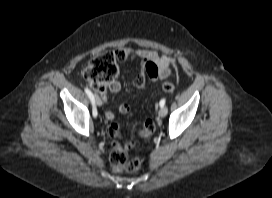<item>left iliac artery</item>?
<instances>
[{
  "mask_svg": "<svg viewBox=\"0 0 272 198\" xmlns=\"http://www.w3.org/2000/svg\"><path fill=\"white\" fill-rule=\"evenodd\" d=\"M165 103H166V100L163 98V99H161V101H160V107H164V105H165Z\"/></svg>",
  "mask_w": 272,
  "mask_h": 198,
  "instance_id": "1",
  "label": "left iliac artery"
}]
</instances>
